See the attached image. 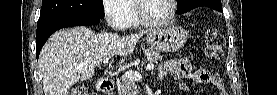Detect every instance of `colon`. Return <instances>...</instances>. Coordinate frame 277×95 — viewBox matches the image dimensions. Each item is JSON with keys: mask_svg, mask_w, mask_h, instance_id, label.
<instances>
[{"mask_svg": "<svg viewBox=\"0 0 277 95\" xmlns=\"http://www.w3.org/2000/svg\"><path fill=\"white\" fill-rule=\"evenodd\" d=\"M203 41L205 54L211 58H220L225 39L215 28H206L203 30ZM71 95H87L88 92L84 86H78L71 90Z\"/></svg>", "mask_w": 277, "mask_h": 95, "instance_id": "obj_1", "label": "colon"}]
</instances>
